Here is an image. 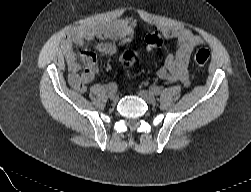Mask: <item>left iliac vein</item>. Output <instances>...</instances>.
<instances>
[{
    "label": "left iliac vein",
    "instance_id": "4c4485c4",
    "mask_svg": "<svg viewBox=\"0 0 251 192\" xmlns=\"http://www.w3.org/2000/svg\"><path fill=\"white\" fill-rule=\"evenodd\" d=\"M139 96L144 99L148 104H154L156 102V99L152 92L141 90L139 92Z\"/></svg>",
    "mask_w": 251,
    "mask_h": 192
}]
</instances>
